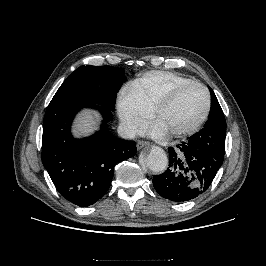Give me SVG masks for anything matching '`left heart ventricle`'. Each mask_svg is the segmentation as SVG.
Here are the masks:
<instances>
[{
    "mask_svg": "<svg viewBox=\"0 0 266 266\" xmlns=\"http://www.w3.org/2000/svg\"><path fill=\"white\" fill-rule=\"evenodd\" d=\"M206 107V96L202 89L190 87L178 97L157 118L167 132L186 128L196 122Z\"/></svg>",
    "mask_w": 266,
    "mask_h": 266,
    "instance_id": "left-heart-ventricle-1",
    "label": "left heart ventricle"
}]
</instances>
